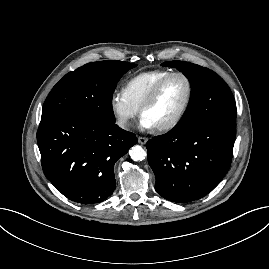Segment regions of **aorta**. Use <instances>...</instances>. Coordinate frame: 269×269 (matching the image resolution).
<instances>
[{
    "label": "aorta",
    "mask_w": 269,
    "mask_h": 269,
    "mask_svg": "<svg viewBox=\"0 0 269 269\" xmlns=\"http://www.w3.org/2000/svg\"><path fill=\"white\" fill-rule=\"evenodd\" d=\"M129 154H130L131 159L134 161H142L147 156L146 151L139 145L133 146Z\"/></svg>",
    "instance_id": "obj_1"
}]
</instances>
